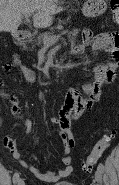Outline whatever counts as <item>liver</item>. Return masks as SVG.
Here are the masks:
<instances>
[{
  "label": "liver",
  "mask_w": 119,
  "mask_h": 185,
  "mask_svg": "<svg viewBox=\"0 0 119 185\" xmlns=\"http://www.w3.org/2000/svg\"><path fill=\"white\" fill-rule=\"evenodd\" d=\"M54 2L55 0H0V31L15 33L22 15L34 12V26L49 27L53 22V15L62 11Z\"/></svg>",
  "instance_id": "liver-1"
}]
</instances>
